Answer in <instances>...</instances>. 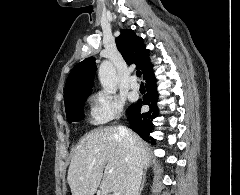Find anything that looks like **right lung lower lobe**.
I'll use <instances>...</instances> for the list:
<instances>
[{
	"label": "right lung lower lobe",
	"instance_id": "obj_1",
	"mask_svg": "<svg viewBox=\"0 0 240 195\" xmlns=\"http://www.w3.org/2000/svg\"><path fill=\"white\" fill-rule=\"evenodd\" d=\"M147 94L133 105L128 112V121L133 131L140 135L145 141L154 142L150 133L154 130V120L159 116L158 92L156 87V79L154 75L146 81ZM142 105H148L149 111L141 113Z\"/></svg>",
	"mask_w": 240,
	"mask_h": 195
}]
</instances>
